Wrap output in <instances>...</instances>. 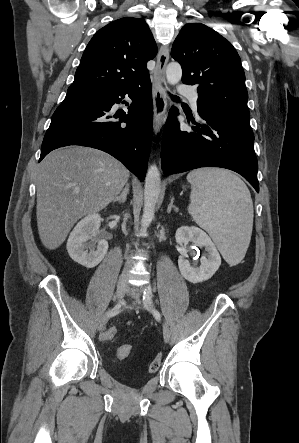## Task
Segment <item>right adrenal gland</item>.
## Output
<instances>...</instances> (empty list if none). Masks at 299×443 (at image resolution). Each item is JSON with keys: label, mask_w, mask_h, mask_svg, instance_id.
<instances>
[{"label": "right adrenal gland", "mask_w": 299, "mask_h": 443, "mask_svg": "<svg viewBox=\"0 0 299 443\" xmlns=\"http://www.w3.org/2000/svg\"><path fill=\"white\" fill-rule=\"evenodd\" d=\"M128 193H129V184L127 183L125 185L123 191L121 192V194L119 196H117L116 198H114L113 203H115V202H119L120 204L125 203Z\"/></svg>", "instance_id": "right-adrenal-gland-1"}]
</instances>
